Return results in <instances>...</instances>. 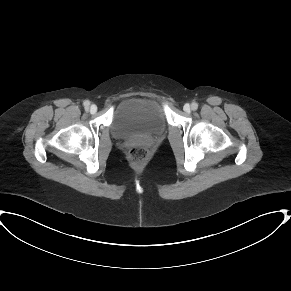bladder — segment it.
I'll return each mask as SVG.
<instances>
[{"label": "bladder", "instance_id": "obj_1", "mask_svg": "<svg viewBox=\"0 0 291 291\" xmlns=\"http://www.w3.org/2000/svg\"><path fill=\"white\" fill-rule=\"evenodd\" d=\"M110 129L113 136L121 141L153 138L164 133L166 119L155 101L130 97L115 110Z\"/></svg>", "mask_w": 291, "mask_h": 291}]
</instances>
